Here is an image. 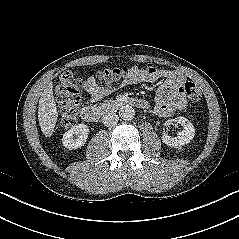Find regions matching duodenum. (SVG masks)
I'll return each instance as SVG.
<instances>
[{
    "label": "duodenum",
    "instance_id": "obj_1",
    "mask_svg": "<svg viewBox=\"0 0 239 239\" xmlns=\"http://www.w3.org/2000/svg\"><path fill=\"white\" fill-rule=\"evenodd\" d=\"M125 106H133L138 109H147L148 103L143 99L122 97L115 100H107L97 107L85 106L82 108L80 116L83 121L94 123L106 113Z\"/></svg>",
    "mask_w": 239,
    "mask_h": 239
}]
</instances>
